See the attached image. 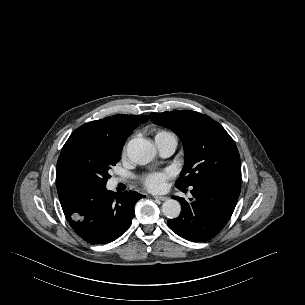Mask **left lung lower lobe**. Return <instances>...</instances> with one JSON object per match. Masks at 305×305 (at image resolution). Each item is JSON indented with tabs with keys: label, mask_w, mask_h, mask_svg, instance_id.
I'll return each instance as SVG.
<instances>
[{
	"label": "left lung lower lobe",
	"mask_w": 305,
	"mask_h": 305,
	"mask_svg": "<svg viewBox=\"0 0 305 305\" xmlns=\"http://www.w3.org/2000/svg\"><path fill=\"white\" fill-rule=\"evenodd\" d=\"M193 198L172 197L181 203L182 211L167 224L177 235L193 242L213 238L231 217L240 194V176L215 177L193 186Z\"/></svg>",
	"instance_id": "0a47b994"
}]
</instances>
